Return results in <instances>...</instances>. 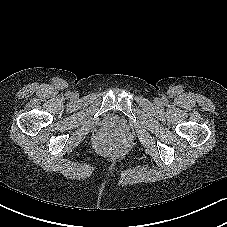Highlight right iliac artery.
I'll return each instance as SVG.
<instances>
[{
  "mask_svg": "<svg viewBox=\"0 0 227 227\" xmlns=\"http://www.w3.org/2000/svg\"><path fill=\"white\" fill-rule=\"evenodd\" d=\"M67 96H71V93H70V92H68V93H67Z\"/></svg>",
  "mask_w": 227,
  "mask_h": 227,
  "instance_id": "1",
  "label": "right iliac artery"
}]
</instances>
